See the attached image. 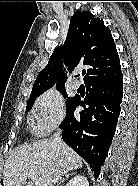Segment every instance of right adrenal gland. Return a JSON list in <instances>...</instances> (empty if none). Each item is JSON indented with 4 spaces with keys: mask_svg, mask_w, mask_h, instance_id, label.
Returning <instances> with one entry per match:
<instances>
[{
    "mask_svg": "<svg viewBox=\"0 0 138 186\" xmlns=\"http://www.w3.org/2000/svg\"><path fill=\"white\" fill-rule=\"evenodd\" d=\"M73 174H75V172L66 174L65 177H63V178L61 179V181L58 183L57 186H59L62 182L65 181V179L69 178V176H70V175H73Z\"/></svg>",
    "mask_w": 138,
    "mask_h": 186,
    "instance_id": "obj_1",
    "label": "right adrenal gland"
}]
</instances>
